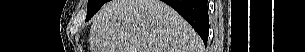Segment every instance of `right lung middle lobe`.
I'll return each instance as SVG.
<instances>
[{"mask_svg": "<svg viewBox=\"0 0 305 52\" xmlns=\"http://www.w3.org/2000/svg\"><path fill=\"white\" fill-rule=\"evenodd\" d=\"M108 0H88L87 6V17L86 21H88Z\"/></svg>", "mask_w": 305, "mask_h": 52, "instance_id": "right-lung-middle-lobe-1", "label": "right lung middle lobe"}]
</instances>
